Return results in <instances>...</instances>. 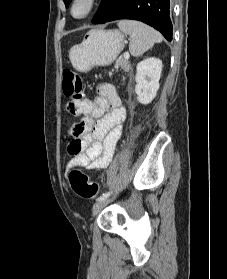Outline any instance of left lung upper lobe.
Returning a JSON list of instances; mask_svg holds the SVG:
<instances>
[{
    "label": "left lung upper lobe",
    "mask_w": 227,
    "mask_h": 279,
    "mask_svg": "<svg viewBox=\"0 0 227 279\" xmlns=\"http://www.w3.org/2000/svg\"><path fill=\"white\" fill-rule=\"evenodd\" d=\"M64 3H65V6L68 7L69 6V3L71 2V0H63Z\"/></svg>",
    "instance_id": "obj_1"
}]
</instances>
